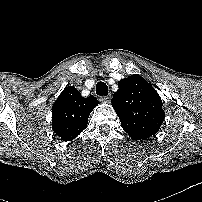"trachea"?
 I'll list each match as a JSON object with an SVG mask.
<instances>
[{
	"label": "trachea",
	"instance_id": "1",
	"mask_svg": "<svg viewBox=\"0 0 202 202\" xmlns=\"http://www.w3.org/2000/svg\"><path fill=\"white\" fill-rule=\"evenodd\" d=\"M96 94L106 96L108 94V86L104 82H98L96 85Z\"/></svg>",
	"mask_w": 202,
	"mask_h": 202
}]
</instances>
